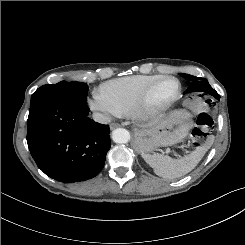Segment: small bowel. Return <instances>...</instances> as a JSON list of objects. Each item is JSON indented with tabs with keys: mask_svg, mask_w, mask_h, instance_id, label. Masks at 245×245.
Returning a JSON list of instances; mask_svg holds the SVG:
<instances>
[{
	"mask_svg": "<svg viewBox=\"0 0 245 245\" xmlns=\"http://www.w3.org/2000/svg\"><path fill=\"white\" fill-rule=\"evenodd\" d=\"M187 106L193 112L209 114L215 109L216 102L212 98L192 96L188 99Z\"/></svg>",
	"mask_w": 245,
	"mask_h": 245,
	"instance_id": "1",
	"label": "small bowel"
}]
</instances>
